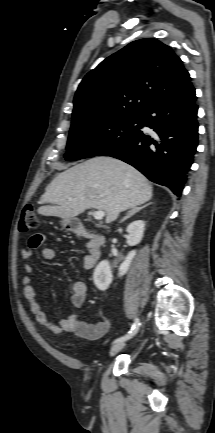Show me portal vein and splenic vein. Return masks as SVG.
I'll list each match as a JSON object with an SVG mask.
<instances>
[{
    "mask_svg": "<svg viewBox=\"0 0 215 433\" xmlns=\"http://www.w3.org/2000/svg\"><path fill=\"white\" fill-rule=\"evenodd\" d=\"M92 216L94 217L95 220H102L105 216V212L104 211H93L91 212Z\"/></svg>",
    "mask_w": 215,
    "mask_h": 433,
    "instance_id": "1",
    "label": "portal vein and splenic vein"
}]
</instances>
